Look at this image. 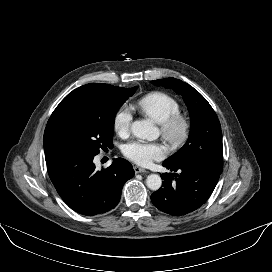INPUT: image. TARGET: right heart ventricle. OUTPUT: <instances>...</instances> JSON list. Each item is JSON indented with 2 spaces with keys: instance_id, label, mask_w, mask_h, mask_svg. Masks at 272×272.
Listing matches in <instances>:
<instances>
[{
  "instance_id": "e07e8e85",
  "label": "right heart ventricle",
  "mask_w": 272,
  "mask_h": 272,
  "mask_svg": "<svg viewBox=\"0 0 272 272\" xmlns=\"http://www.w3.org/2000/svg\"><path fill=\"white\" fill-rule=\"evenodd\" d=\"M134 106L159 124L180 112L179 102L170 94L160 91L146 94Z\"/></svg>"
}]
</instances>
